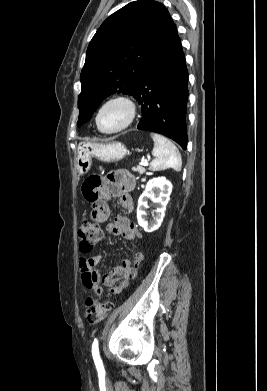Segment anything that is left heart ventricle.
I'll return each instance as SVG.
<instances>
[{"label":"left heart ventricle","mask_w":267,"mask_h":391,"mask_svg":"<svg viewBox=\"0 0 267 391\" xmlns=\"http://www.w3.org/2000/svg\"><path fill=\"white\" fill-rule=\"evenodd\" d=\"M126 118V107L121 103H112L102 110L99 122L102 129L111 131L122 126Z\"/></svg>","instance_id":"obj_1"}]
</instances>
